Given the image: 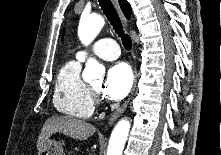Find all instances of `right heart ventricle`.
Returning <instances> with one entry per match:
<instances>
[{
  "label": "right heart ventricle",
  "mask_w": 221,
  "mask_h": 155,
  "mask_svg": "<svg viewBox=\"0 0 221 155\" xmlns=\"http://www.w3.org/2000/svg\"><path fill=\"white\" fill-rule=\"evenodd\" d=\"M80 60H70L59 70L53 92V104L62 114L76 117L89 118L93 111V99L88 85L80 75Z\"/></svg>",
  "instance_id": "right-heart-ventricle-1"
}]
</instances>
